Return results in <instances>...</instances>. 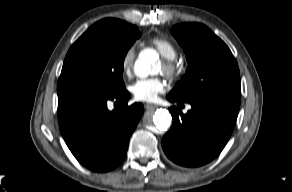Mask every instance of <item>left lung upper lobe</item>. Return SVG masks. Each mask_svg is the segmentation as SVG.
Listing matches in <instances>:
<instances>
[{"label":"left lung upper lobe","mask_w":292,"mask_h":192,"mask_svg":"<svg viewBox=\"0 0 292 192\" xmlns=\"http://www.w3.org/2000/svg\"><path fill=\"white\" fill-rule=\"evenodd\" d=\"M171 33L183 47L186 74L168 96L182 101L200 97H241L240 73L228 46L200 23L173 26Z\"/></svg>","instance_id":"obj_1"}]
</instances>
